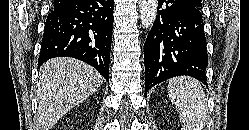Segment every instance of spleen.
I'll return each instance as SVG.
<instances>
[{
	"mask_svg": "<svg viewBox=\"0 0 249 130\" xmlns=\"http://www.w3.org/2000/svg\"><path fill=\"white\" fill-rule=\"evenodd\" d=\"M170 100L180 114L183 130H203L207 121V103L200 82L189 76L169 80Z\"/></svg>",
	"mask_w": 249,
	"mask_h": 130,
	"instance_id": "3e777b00",
	"label": "spleen"
}]
</instances>
